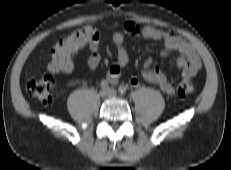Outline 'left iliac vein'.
Here are the masks:
<instances>
[{
	"label": "left iliac vein",
	"mask_w": 231,
	"mask_h": 170,
	"mask_svg": "<svg viewBox=\"0 0 231 170\" xmlns=\"http://www.w3.org/2000/svg\"><path fill=\"white\" fill-rule=\"evenodd\" d=\"M107 91H108L109 97H116V94H117L116 90L110 88Z\"/></svg>",
	"instance_id": "left-iliac-vein-1"
}]
</instances>
